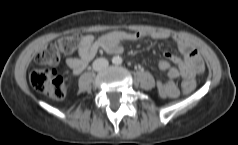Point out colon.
<instances>
[{
	"label": "colon",
	"instance_id": "obj_1",
	"mask_svg": "<svg viewBox=\"0 0 238 145\" xmlns=\"http://www.w3.org/2000/svg\"><path fill=\"white\" fill-rule=\"evenodd\" d=\"M80 36L73 35L63 37L54 43L47 45L36 56L35 67L30 72V83L37 91L53 98L61 100L66 95V83L63 76L59 75L55 70L46 67L56 66L61 59L62 54L72 53L78 46ZM194 86L189 83H182L184 93H189Z\"/></svg>",
	"mask_w": 238,
	"mask_h": 145
}]
</instances>
